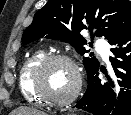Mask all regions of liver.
I'll use <instances>...</instances> for the list:
<instances>
[{"mask_svg": "<svg viewBox=\"0 0 131 115\" xmlns=\"http://www.w3.org/2000/svg\"><path fill=\"white\" fill-rule=\"evenodd\" d=\"M11 115H46V114L33 108L20 107L14 110L11 113Z\"/></svg>", "mask_w": 131, "mask_h": 115, "instance_id": "obj_1", "label": "liver"}]
</instances>
